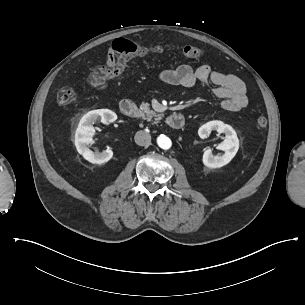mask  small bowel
Segmentation results:
<instances>
[{"label":"small bowel","mask_w":305,"mask_h":305,"mask_svg":"<svg viewBox=\"0 0 305 305\" xmlns=\"http://www.w3.org/2000/svg\"><path fill=\"white\" fill-rule=\"evenodd\" d=\"M102 59L109 65L115 63L112 55L114 48L107 44L103 48ZM160 82L173 86L191 87L196 82L213 84V94L221 100V106L227 111H240L248 104L245 83L236 76L213 70L209 64H202L196 68L180 65L174 69H166L158 74Z\"/></svg>","instance_id":"obj_1"}]
</instances>
